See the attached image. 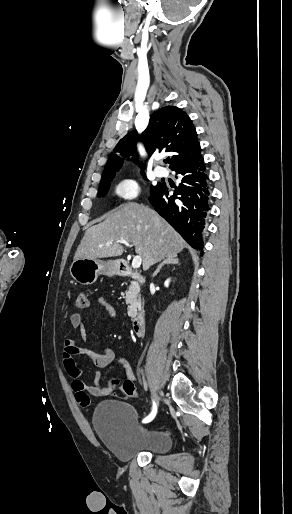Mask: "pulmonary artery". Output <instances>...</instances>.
Returning <instances> with one entry per match:
<instances>
[{"label":"pulmonary artery","mask_w":292,"mask_h":514,"mask_svg":"<svg viewBox=\"0 0 292 514\" xmlns=\"http://www.w3.org/2000/svg\"><path fill=\"white\" fill-rule=\"evenodd\" d=\"M155 175H156L157 177L161 178V177L166 176V172L164 171V169H163V168L156 169V170H155Z\"/></svg>","instance_id":"1"}]
</instances>
